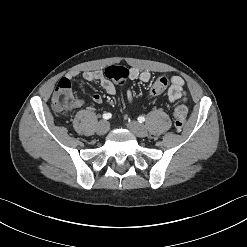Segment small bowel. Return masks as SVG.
I'll use <instances>...</instances> for the list:
<instances>
[{
  "label": "small bowel",
  "mask_w": 247,
  "mask_h": 247,
  "mask_svg": "<svg viewBox=\"0 0 247 247\" xmlns=\"http://www.w3.org/2000/svg\"><path fill=\"white\" fill-rule=\"evenodd\" d=\"M79 72L72 71L68 73L60 82H66L70 85V81L77 77ZM129 77L131 80H139L141 82L147 83L151 80V73L149 71H140L137 68H131L129 71ZM82 79L87 82H98L104 89V91L109 95H114L116 93V87L112 81L104 76V73L99 70L85 71L82 73ZM168 99L169 102L173 103L177 100L186 101V91L184 87V80L180 76H173L170 79V86L168 89ZM128 98L130 101L133 100V95L131 92L128 93ZM93 100L96 103L102 102V97L99 94L93 95ZM85 104L84 99H75L73 108H79Z\"/></svg>",
  "instance_id": "obj_1"
}]
</instances>
